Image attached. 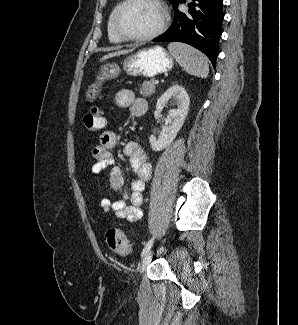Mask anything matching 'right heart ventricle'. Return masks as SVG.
I'll use <instances>...</instances> for the list:
<instances>
[{
	"label": "right heart ventricle",
	"instance_id": "obj_1",
	"mask_svg": "<svg viewBox=\"0 0 298 325\" xmlns=\"http://www.w3.org/2000/svg\"><path fill=\"white\" fill-rule=\"evenodd\" d=\"M120 4H117L113 7V9L111 10L108 20H107V37L110 43H112L113 45H121L123 44V41H121L116 34L113 31V27H112V22H113V17L115 15V12L117 10V8L119 7Z\"/></svg>",
	"mask_w": 298,
	"mask_h": 325
}]
</instances>
